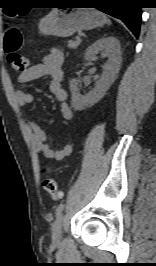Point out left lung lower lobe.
Segmentation results:
<instances>
[{
  "mask_svg": "<svg viewBox=\"0 0 156 266\" xmlns=\"http://www.w3.org/2000/svg\"><path fill=\"white\" fill-rule=\"evenodd\" d=\"M65 4L83 8H98L100 11L122 20L131 32L139 37L141 24L140 0H64Z\"/></svg>",
  "mask_w": 156,
  "mask_h": 266,
  "instance_id": "obj_1",
  "label": "left lung lower lobe"
}]
</instances>
